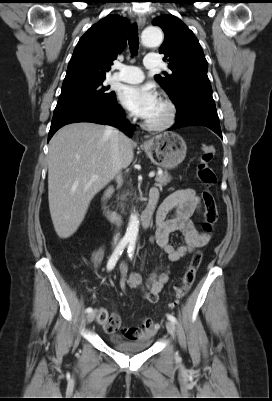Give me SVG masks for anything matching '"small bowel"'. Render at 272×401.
<instances>
[{"label": "small bowel", "mask_w": 272, "mask_h": 401, "mask_svg": "<svg viewBox=\"0 0 272 401\" xmlns=\"http://www.w3.org/2000/svg\"><path fill=\"white\" fill-rule=\"evenodd\" d=\"M155 191L158 192L156 189H152L150 194ZM199 211L200 199L195 191L190 188L173 192L159 205L155 215L156 231L152 241L166 253L170 261L175 262L182 259L195 249L203 247L209 241L210 236L197 230L191 220V217ZM174 232H179L184 237V243L177 247L169 242V237ZM103 255V246L95 249L92 254L94 266L98 267L101 264ZM120 273L121 288L140 289L143 293V298L150 303L158 301L159 293L169 279L168 270L160 271L157 268L143 282L142 276L138 272L127 275L126 264L121 266ZM99 312H106V310L100 309ZM111 317L112 319L104 325V330L111 337L120 339V336L116 334L121 324L120 317L117 312H113ZM158 327L157 323L144 320L139 327H124L123 336L130 341H139L154 334Z\"/></svg>", "instance_id": "small-bowel-1"}]
</instances>
